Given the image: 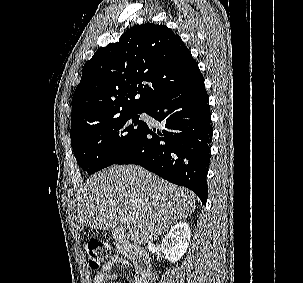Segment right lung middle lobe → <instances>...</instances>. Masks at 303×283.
I'll return each instance as SVG.
<instances>
[{
    "mask_svg": "<svg viewBox=\"0 0 303 283\" xmlns=\"http://www.w3.org/2000/svg\"><path fill=\"white\" fill-rule=\"evenodd\" d=\"M142 112L146 111L130 112L70 134L78 165L88 174H93L115 164L145 131L147 124L139 120Z\"/></svg>",
    "mask_w": 303,
    "mask_h": 283,
    "instance_id": "dd1d6c3e",
    "label": "right lung middle lobe"
}]
</instances>
